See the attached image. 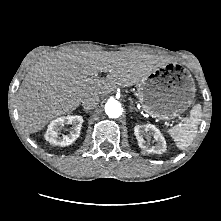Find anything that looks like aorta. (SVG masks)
Wrapping results in <instances>:
<instances>
[{
    "instance_id": "1",
    "label": "aorta",
    "mask_w": 221,
    "mask_h": 221,
    "mask_svg": "<svg viewBox=\"0 0 221 221\" xmlns=\"http://www.w3.org/2000/svg\"><path fill=\"white\" fill-rule=\"evenodd\" d=\"M105 112L110 118H118L122 114L121 104L115 99H109L105 104Z\"/></svg>"
}]
</instances>
